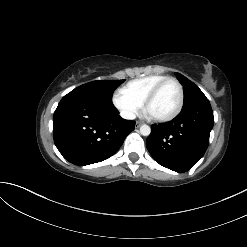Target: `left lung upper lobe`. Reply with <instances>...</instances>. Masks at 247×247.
<instances>
[{"label":"left lung upper lobe","mask_w":247,"mask_h":247,"mask_svg":"<svg viewBox=\"0 0 247 247\" xmlns=\"http://www.w3.org/2000/svg\"><path fill=\"white\" fill-rule=\"evenodd\" d=\"M176 76L180 83L183 85L184 89L183 107L192 102L207 99L203 92L192 81L179 73H176Z\"/></svg>","instance_id":"obj_1"}]
</instances>
